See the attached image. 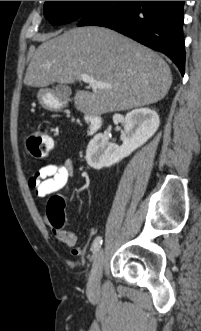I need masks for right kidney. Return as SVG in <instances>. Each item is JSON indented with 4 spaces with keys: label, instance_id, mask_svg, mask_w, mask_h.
Returning <instances> with one entry per match:
<instances>
[{
    "label": "right kidney",
    "instance_id": "right-kidney-1",
    "mask_svg": "<svg viewBox=\"0 0 201 331\" xmlns=\"http://www.w3.org/2000/svg\"><path fill=\"white\" fill-rule=\"evenodd\" d=\"M159 116L148 108L135 109L124 119V131L121 132V146L109 141L102 133L96 134L89 142L86 150L88 165L96 170L110 167L129 156L137 148L145 144L159 127Z\"/></svg>",
    "mask_w": 201,
    "mask_h": 331
}]
</instances>
